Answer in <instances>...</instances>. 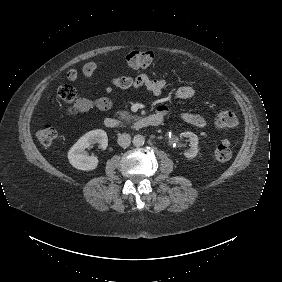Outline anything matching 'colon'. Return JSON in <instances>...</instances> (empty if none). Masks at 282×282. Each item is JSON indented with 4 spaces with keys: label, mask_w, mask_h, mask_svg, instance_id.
Instances as JSON below:
<instances>
[{
    "label": "colon",
    "mask_w": 282,
    "mask_h": 282,
    "mask_svg": "<svg viewBox=\"0 0 282 282\" xmlns=\"http://www.w3.org/2000/svg\"><path fill=\"white\" fill-rule=\"evenodd\" d=\"M155 60L154 53L150 50H134L128 54L126 62L133 70H140L150 66ZM74 90L68 86H60L52 96V101L69 102L74 98ZM238 124L236 114L229 109H223L216 116V126L219 129H230ZM57 137L55 122L45 123L37 131V139L44 145H50ZM231 149L227 142H219L213 151L214 160L223 162L230 158Z\"/></svg>",
    "instance_id": "5ec220e1"
}]
</instances>
